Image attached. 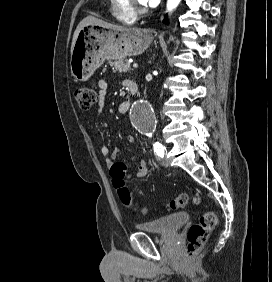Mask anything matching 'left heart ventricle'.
Segmentation results:
<instances>
[{
  "label": "left heart ventricle",
  "instance_id": "1",
  "mask_svg": "<svg viewBox=\"0 0 272 282\" xmlns=\"http://www.w3.org/2000/svg\"><path fill=\"white\" fill-rule=\"evenodd\" d=\"M137 2H138V4H139L140 6L146 8V6L144 5V1H143V0H137Z\"/></svg>",
  "mask_w": 272,
  "mask_h": 282
}]
</instances>
